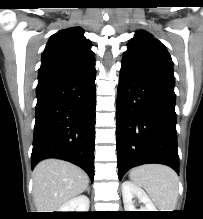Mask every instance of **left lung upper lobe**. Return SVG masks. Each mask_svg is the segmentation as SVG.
<instances>
[{"label": "left lung upper lobe", "mask_w": 203, "mask_h": 219, "mask_svg": "<svg viewBox=\"0 0 203 219\" xmlns=\"http://www.w3.org/2000/svg\"><path fill=\"white\" fill-rule=\"evenodd\" d=\"M123 60L139 63L174 77L173 62L165 46L146 31L136 32L128 44Z\"/></svg>", "instance_id": "1"}]
</instances>
